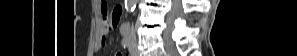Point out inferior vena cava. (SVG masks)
<instances>
[{"mask_svg": "<svg viewBox=\"0 0 297 56\" xmlns=\"http://www.w3.org/2000/svg\"><path fill=\"white\" fill-rule=\"evenodd\" d=\"M131 37H132V39H136V35H135L133 28L131 29Z\"/></svg>", "mask_w": 297, "mask_h": 56, "instance_id": "1", "label": "inferior vena cava"}]
</instances>
